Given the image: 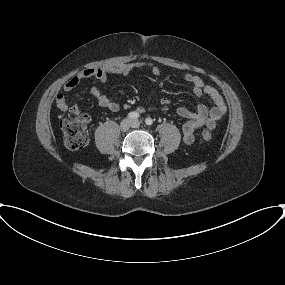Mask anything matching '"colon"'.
Returning a JSON list of instances; mask_svg holds the SVG:
<instances>
[{
    "mask_svg": "<svg viewBox=\"0 0 285 285\" xmlns=\"http://www.w3.org/2000/svg\"><path fill=\"white\" fill-rule=\"evenodd\" d=\"M87 122L86 116L66 117L61 121L60 125L64 143L68 149L79 150L88 144L89 132ZM201 138L206 142L210 141L212 139L211 131L204 129L201 132Z\"/></svg>",
    "mask_w": 285,
    "mask_h": 285,
    "instance_id": "obj_1",
    "label": "colon"
}]
</instances>
